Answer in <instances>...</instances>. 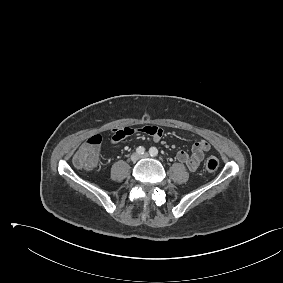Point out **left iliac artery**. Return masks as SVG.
Instances as JSON below:
<instances>
[{"mask_svg":"<svg viewBox=\"0 0 283 283\" xmlns=\"http://www.w3.org/2000/svg\"><path fill=\"white\" fill-rule=\"evenodd\" d=\"M149 153H150L151 156H157L158 155V150H157L156 147H151L149 149Z\"/></svg>","mask_w":283,"mask_h":283,"instance_id":"obj_1","label":"left iliac artery"}]
</instances>
